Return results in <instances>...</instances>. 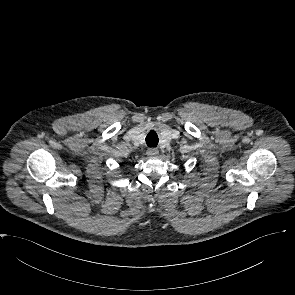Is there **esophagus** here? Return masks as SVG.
<instances>
[{"label":"esophagus","mask_w":295,"mask_h":295,"mask_svg":"<svg viewBox=\"0 0 295 295\" xmlns=\"http://www.w3.org/2000/svg\"><path fill=\"white\" fill-rule=\"evenodd\" d=\"M159 154V151H158V149H156V148H150L148 151H147V155L149 156V157H155V156H157Z\"/></svg>","instance_id":"esophagus-1"}]
</instances>
